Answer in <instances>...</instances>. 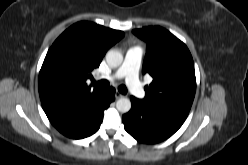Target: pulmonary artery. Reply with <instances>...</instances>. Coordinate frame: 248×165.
<instances>
[{
    "label": "pulmonary artery",
    "mask_w": 248,
    "mask_h": 165,
    "mask_svg": "<svg viewBox=\"0 0 248 165\" xmlns=\"http://www.w3.org/2000/svg\"><path fill=\"white\" fill-rule=\"evenodd\" d=\"M143 56V49L139 46H133L126 52L123 64L113 74L102 76L107 80L125 79L130 91L137 98H144L145 90L139 81V68Z\"/></svg>",
    "instance_id": "pulmonary-artery-1"
}]
</instances>
